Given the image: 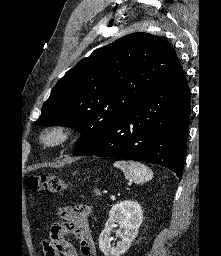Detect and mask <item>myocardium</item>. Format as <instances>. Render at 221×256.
Here are the masks:
<instances>
[{"mask_svg": "<svg viewBox=\"0 0 221 256\" xmlns=\"http://www.w3.org/2000/svg\"><path fill=\"white\" fill-rule=\"evenodd\" d=\"M73 135V128L58 122L46 126L39 135L40 142L46 147H57L68 142Z\"/></svg>", "mask_w": 221, "mask_h": 256, "instance_id": "f54148a6", "label": "myocardium"}]
</instances>
